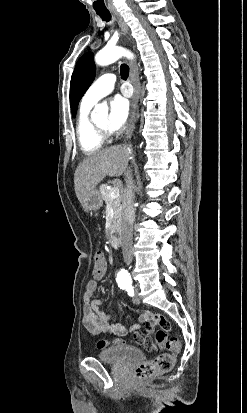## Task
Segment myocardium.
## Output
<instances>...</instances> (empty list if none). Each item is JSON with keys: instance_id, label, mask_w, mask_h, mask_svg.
<instances>
[{"instance_id": "myocardium-1", "label": "myocardium", "mask_w": 247, "mask_h": 413, "mask_svg": "<svg viewBox=\"0 0 247 413\" xmlns=\"http://www.w3.org/2000/svg\"><path fill=\"white\" fill-rule=\"evenodd\" d=\"M97 132L99 134V136L103 139V140H107L109 138V133L106 129L104 128H97Z\"/></svg>"}]
</instances>
